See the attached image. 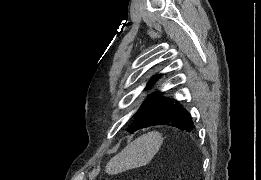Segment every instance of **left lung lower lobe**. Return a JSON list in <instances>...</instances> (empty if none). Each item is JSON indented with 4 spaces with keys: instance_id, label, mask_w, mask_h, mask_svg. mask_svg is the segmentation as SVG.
I'll list each match as a JSON object with an SVG mask.
<instances>
[{
    "instance_id": "left-lung-lower-lobe-1",
    "label": "left lung lower lobe",
    "mask_w": 261,
    "mask_h": 180,
    "mask_svg": "<svg viewBox=\"0 0 261 180\" xmlns=\"http://www.w3.org/2000/svg\"><path fill=\"white\" fill-rule=\"evenodd\" d=\"M155 125L172 126L186 131H191L194 128L190 113L179 105V102L172 103L151 126Z\"/></svg>"
}]
</instances>
